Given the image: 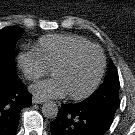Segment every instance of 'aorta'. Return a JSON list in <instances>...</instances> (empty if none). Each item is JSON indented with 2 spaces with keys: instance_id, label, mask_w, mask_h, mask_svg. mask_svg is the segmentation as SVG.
Instances as JSON below:
<instances>
[{
  "instance_id": "aorta-1",
  "label": "aorta",
  "mask_w": 135,
  "mask_h": 135,
  "mask_svg": "<svg viewBox=\"0 0 135 135\" xmlns=\"http://www.w3.org/2000/svg\"><path fill=\"white\" fill-rule=\"evenodd\" d=\"M42 113L46 118H55L58 113V106L53 101H48L42 106Z\"/></svg>"
}]
</instances>
